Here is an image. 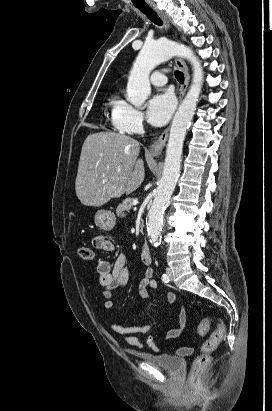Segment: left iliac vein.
I'll return each instance as SVG.
<instances>
[{
    "mask_svg": "<svg viewBox=\"0 0 272 411\" xmlns=\"http://www.w3.org/2000/svg\"><path fill=\"white\" fill-rule=\"evenodd\" d=\"M166 273H167L168 278H169L170 280H172V279H173V271H172V269L168 267V268L166 269Z\"/></svg>",
    "mask_w": 272,
    "mask_h": 411,
    "instance_id": "left-iliac-vein-1",
    "label": "left iliac vein"
}]
</instances>
